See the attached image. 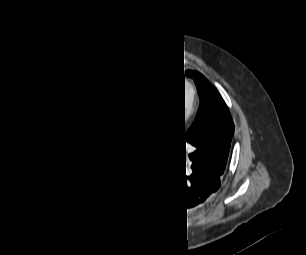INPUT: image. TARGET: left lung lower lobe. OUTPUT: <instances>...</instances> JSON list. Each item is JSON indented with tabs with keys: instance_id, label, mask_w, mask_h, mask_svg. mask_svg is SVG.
<instances>
[{
	"instance_id": "left-lung-lower-lobe-1",
	"label": "left lung lower lobe",
	"mask_w": 306,
	"mask_h": 255,
	"mask_svg": "<svg viewBox=\"0 0 306 255\" xmlns=\"http://www.w3.org/2000/svg\"><path fill=\"white\" fill-rule=\"evenodd\" d=\"M178 176L184 179V186L181 181L173 192L163 194V200L169 209H182L186 216L190 210L207 203L221 186L220 176L205 167L192 169L189 176L186 170L179 171Z\"/></svg>"
}]
</instances>
